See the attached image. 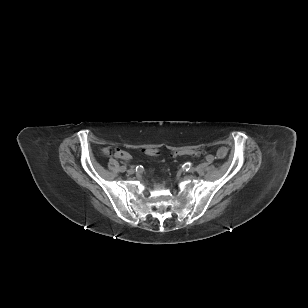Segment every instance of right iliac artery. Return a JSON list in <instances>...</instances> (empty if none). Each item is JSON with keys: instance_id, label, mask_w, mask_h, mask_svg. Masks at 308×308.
Segmentation results:
<instances>
[{"instance_id": "1", "label": "right iliac artery", "mask_w": 308, "mask_h": 308, "mask_svg": "<svg viewBox=\"0 0 308 308\" xmlns=\"http://www.w3.org/2000/svg\"><path fill=\"white\" fill-rule=\"evenodd\" d=\"M126 169H127L126 166H121V167H120V171H121V172H125Z\"/></svg>"}]
</instances>
